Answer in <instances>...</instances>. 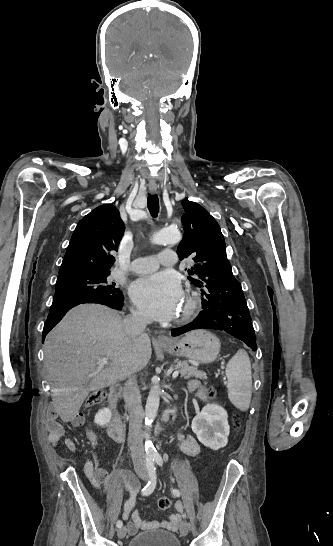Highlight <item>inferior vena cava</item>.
Listing matches in <instances>:
<instances>
[{
    "label": "inferior vena cava",
    "mask_w": 333,
    "mask_h": 546,
    "mask_svg": "<svg viewBox=\"0 0 333 546\" xmlns=\"http://www.w3.org/2000/svg\"><path fill=\"white\" fill-rule=\"evenodd\" d=\"M148 319L141 313L131 310V314L123 320L125 333L132 339L145 331ZM123 397L129 413V445L134 467L145 468V453L142 441L143 409L140 389L135 375L129 376L123 390Z\"/></svg>",
    "instance_id": "inferior-vena-cava-1"
}]
</instances>
